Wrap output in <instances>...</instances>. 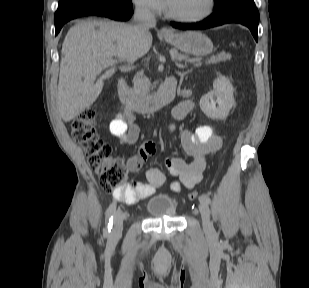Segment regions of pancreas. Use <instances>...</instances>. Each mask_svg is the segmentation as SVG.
Masks as SVG:
<instances>
[{
	"label": "pancreas",
	"mask_w": 309,
	"mask_h": 288,
	"mask_svg": "<svg viewBox=\"0 0 309 288\" xmlns=\"http://www.w3.org/2000/svg\"><path fill=\"white\" fill-rule=\"evenodd\" d=\"M171 55L175 56L178 60H187V56L179 54L176 50H170ZM231 59L229 53H219L216 56L211 57L206 61L207 64H216L219 62H225ZM151 83L148 78L143 75V71L139 72L133 80V93L136 98L142 99L146 97L150 91Z\"/></svg>",
	"instance_id": "obj_1"
}]
</instances>
